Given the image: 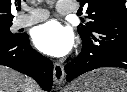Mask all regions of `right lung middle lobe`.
I'll use <instances>...</instances> for the list:
<instances>
[{
    "label": "right lung middle lobe",
    "instance_id": "obj_1",
    "mask_svg": "<svg viewBox=\"0 0 127 92\" xmlns=\"http://www.w3.org/2000/svg\"><path fill=\"white\" fill-rule=\"evenodd\" d=\"M11 25L12 23L0 25V39L17 40L21 38L23 34H17V33L13 34L10 31Z\"/></svg>",
    "mask_w": 127,
    "mask_h": 92
}]
</instances>
